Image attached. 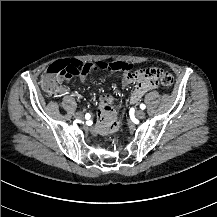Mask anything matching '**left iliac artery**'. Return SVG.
Returning <instances> with one entry per match:
<instances>
[{
	"mask_svg": "<svg viewBox=\"0 0 217 217\" xmlns=\"http://www.w3.org/2000/svg\"><path fill=\"white\" fill-rule=\"evenodd\" d=\"M140 108H141L142 110H144V109L146 108V106H145L144 104H140Z\"/></svg>",
	"mask_w": 217,
	"mask_h": 217,
	"instance_id": "obj_1",
	"label": "left iliac artery"
}]
</instances>
